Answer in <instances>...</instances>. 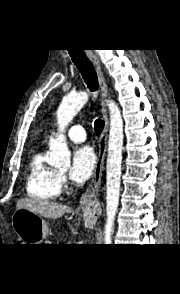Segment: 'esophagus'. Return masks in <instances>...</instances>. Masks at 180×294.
<instances>
[{"mask_svg":"<svg viewBox=\"0 0 180 294\" xmlns=\"http://www.w3.org/2000/svg\"><path fill=\"white\" fill-rule=\"evenodd\" d=\"M86 55L93 64L98 76V81L102 95V114L105 121V125L100 136L98 160L95 165L94 174L91 183L89 184L88 188L86 189L85 193L82 195L81 198V210L83 213V217L85 221L91 222L96 221L102 213V208L98 196L101 187V179L104 168V159L106 155L109 129V120L105 107V100L108 96V85L106 83L102 67L97 56L93 53L92 50H87Z\"/></svg>","mask_w":180,"mask_h":294,"instance_id":"esophagus-1","label":"esophagus"}]
</instances>
